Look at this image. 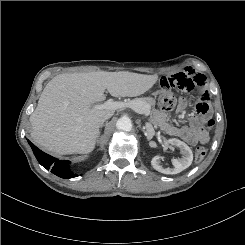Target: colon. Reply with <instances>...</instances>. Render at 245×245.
Segmentation results:
<instances>
[{
	"instance_id": "obj_1",
	"label": "colon",
	"mask_w": 245,
	"mask_h": 245,
	"mask_svg": "<svg viewBox=\"0 0 245 245\" xmlns=\"http://www.w3.org/2000/svg\"><path fill=\"white\" fill-rule=\"evenodd\" d=\"M173 87H175V84H173ZM176 104H177V99L172 93L169 92V90L164 91L159 96V105L163 110L166 111L172 110L176 106ZM205 126L207 128H211L213 126V121L208 119L205 123ZM206 154H207L206 149H204L203 147H198L195 150V161L201 162L205 158Z\"/></svg>"
}]
</instances>
